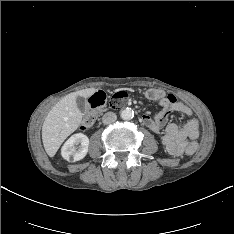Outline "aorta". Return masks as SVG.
<instances>
[{"mask_svg": "<svg viewBox=\"0 0 234 234\" xmlns=\"http://www.w3.org/2000/svg\"><path fill=\"white\" fill-rule=\"evenodd\" d=\"M120 116L123 120H130L134 117V111L130 108H126L121 111Z\"/></svg>", "mask_w": 234, "mask_h": 234, "instance_id": "1", "label": "aorta"}]
</instances>
